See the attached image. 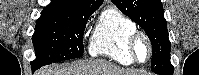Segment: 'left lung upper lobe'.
<instances>
[{
  "label": "left lung upper lobe",
  "mask_w": 199,
  "mask_h": 75,
  "mask_svg": "<svg viewBox=\"0 0 199 75\" xmlns=\"http://www.w3.org/2000/svg\"><path fill=\"white\" fill-rule=\"evenodd\" d=\"M126 16L144 29L152 44L151 68L155 73L173 70L171 43L160 0H111Z\"/></svg>",
  "instance_id": "1"
}]
</instances>
